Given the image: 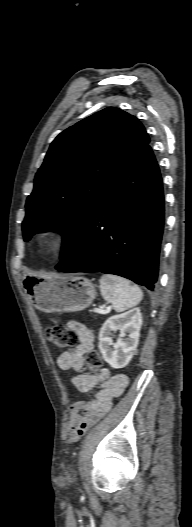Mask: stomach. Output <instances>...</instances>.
<instances>
[{
	"label": "stomach",
	"instance_id": "obj_1",
	"mask_svg": "<svg viewBox=\"0 0 192 527\" xmlns=\"http://www.w3.org/2000/svg\"><path fill=\"white\" fill-rule=\"evenodd\" d=\"M24 287L35 307L46 313L82 311L97 295L92 281L73 275L28 276Z\"/></svg>",
	"mask_w": 192,
	"mask_h": 527
}]
</instances>
